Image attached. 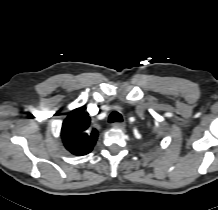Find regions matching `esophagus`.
<instances>
[{"instance_id":"obj_1","label":"esophagus","mask_w":218,"mask_h":210,"mask_svg":"<svg viewBox=\"0 0 218 210\" xmlns=\"http://www.w3.org/2000/svg\"><path fill=\"white\" fill-rule=\"evenodd\" d=\"M115 127L124 129L126 127V124L124 122H117L114 124Z\"/></svg>"}]
</instances>
